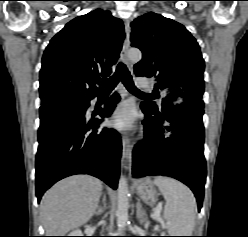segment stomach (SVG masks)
I'll return each instance as SVG.
<instances>
[{
    "label": "stomach",
    "instance_id": "obj_1",
    "mask_svg": "<svg viewBox=\"0 0 248 237\" xmlns=\"http://www.w3.org/2000/svg\"><path fill=\"white\" fill-rule=\"evenodd\" d=\"M138 196L148 205L153 206L157 201V191L149 179H143L136 187Z\"/></svg>",
    "mask_w": 248,
    "mask_h": 237
}]
</instances>
